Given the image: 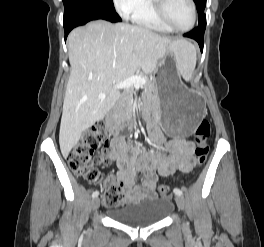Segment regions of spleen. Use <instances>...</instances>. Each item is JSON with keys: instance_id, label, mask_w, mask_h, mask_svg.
<instances>
[{"instance_id": "spleen-1", "label": "spleen", "mask_w": 264, "mask_h": 247, "mask_svg": "<svg viewBox=\"0 0 264 247\" xmlns=\"http://www.w3.org/2000/svg\"><path fill=\"white\" fill-rule=\"evenodd\" d=\"M173 52L178 71L185 81H189L192 78L197 61L195 46L187 41L179 40L175 44Z\"/></svg>"}]
</instances>
